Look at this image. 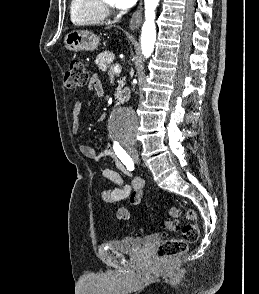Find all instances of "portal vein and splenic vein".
<instances>
[{"mask_svg":"<svg viewBox=\"0 0 259 294\" xmlns=\"http://www.w3.org/2000/svg\"><path fill=\"white\" fill-rule=\"evenodd\" d=\"M121 71V67L119 64H116L114 67H113V72L114 73H119Z\"/></svg>","mask_w":259,"mask_h":294,"instance_id":"obj_1","label":"portal vein and splenic vein"}]
</instances>
